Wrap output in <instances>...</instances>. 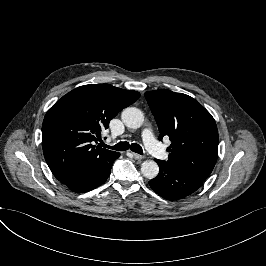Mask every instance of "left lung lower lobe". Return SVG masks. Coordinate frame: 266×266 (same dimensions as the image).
<instances>
[{
    "instance_id": "obj_1",
    "label": "left lung lower lobe",
    "mask_w": 266,
    "mask_h": 266,
    "mask_svg": "<svg viewBox=\"0 0 266 266\" xmlns=\"http://www.w3.org/2000/svg\"><path fill=\"white\" fill-rule=\"evenodd\" d=\"M160 171L157 177L149 181L151 188L168 200H179L195 192L203 179L169 165L166 161L157 160Z\"/></svg>"
}]
</instances>
